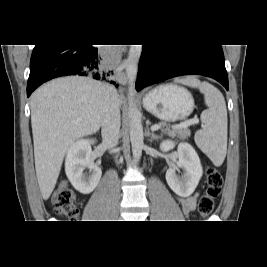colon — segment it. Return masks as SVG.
<instances>
[{"label":"colon","instance_id":"obj_1","mask_svg":"<svg viewBox=\"0 0 267 267\" xmlns=\"http://www.w3.org/2000/svg\"><path fill=\"white\" fill-rule=\"evenodd\" d=\"M205 176L206 189L198 203V212L202 217L212 213L215 200L219 196L224 183L222 174L214 167H208ZM52 203L57 215L69 219H76L79 215L75 193L67 181L58 185L53 193Z\"/></svg>","mask_w":267,"mask_h":267}]
</instances>
